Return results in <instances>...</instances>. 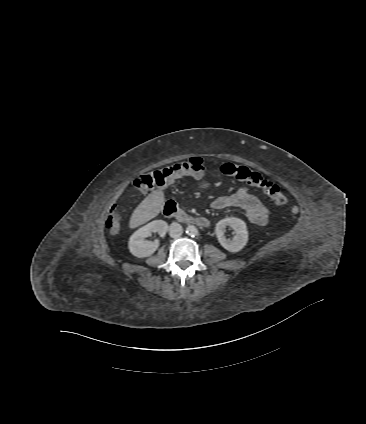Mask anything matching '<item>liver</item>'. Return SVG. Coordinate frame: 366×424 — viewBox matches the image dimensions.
Instances as JSON below:
<instances>
[{"mask_svg":"<svg viewBox=\"0 0 366 424\" xmlns=\"http://www.w3.org/2000/svg\"><path fill=\"white\" fill-rule=\"evenodd\" d=\"M165 204L162 191L151 192L134 210L129 221L130 228H136L156 217Z\"/></svg>","mask_w":366,"mask_h":424,"instance_id":"6515ba94","label":"liver"}]
</instances>
